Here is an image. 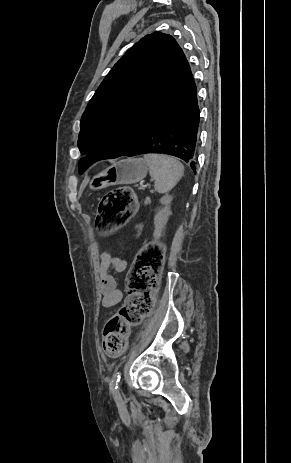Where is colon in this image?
Segmentation results:
<instances>
[{
  "instance_id": "colon-1",
  "label": "colon",
  "mask_w": 291,
  "mask_h": 463,
  "mask_svg": "<svg viewBox=\"0 0 291 463\" xmlns=\"http://www.w3.org/2000/svg\"><path fill=\"white\" fill-rule=\"evenodd\" d=\"M136 208L137 199L131 188L118 187L107 192L98 205L97 229L107 233L123 226ZM163 260V246L156 242L146 244L138 252L126 277L127 298L103 330V349L107 355L122 354L130 326L139 324L152 311Z\"/></svg>"
}]
</instances>
